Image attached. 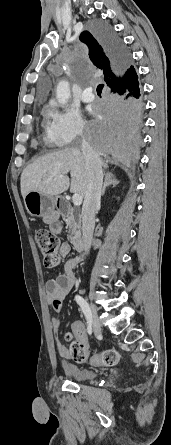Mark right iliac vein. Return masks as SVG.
<instances>
[{
  "label": "right iliac vein",
  "mask_w": 171,
  "mask_h": 445,
  "mask_svg": "<svg viewBox=\"0 0 171 445\" xmlns=\"http://www.w3.org/2000/svg\"><path fill=\"white\" fill-rule=\"evenodd\" d=\"M88 307H89V315H90V320H91L93 330L96 333H98L101 331V325H100V320L98 318L97 310H96L95 306H93L91 304H88Z\"/></svg>",
  "instance_id": "63e3f726"
}]
</instances>
